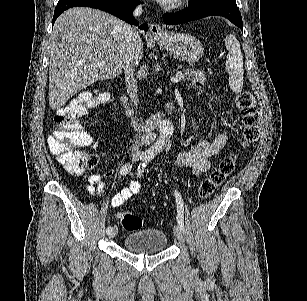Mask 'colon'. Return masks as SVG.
Returning <instances> with one entry per match:
<instances>
[{
  "instance_id": "5ec220e1",
  "label": "colon",
  "mask_w": 307,
  "mask_h": 301,
  "mask_svg": "<svg viewBox=\"0 0 307 301\" xmlns=\"http://www.w3.org/2000/svg\"><path fill=\"white\" fill-rule=\"evenodd\" d=\"M104 94L98 96L83 93L60 107L55 115V129L49 136V147L59 162L71 173H82L94 168L98 163L95 154L84 149L92 143L91 135L83 126L81 119L95 108ZM236 108L242 118L243 147L255 143L260 132V119L254 96L242 91L236 97ZM237 153L223 157L211 173L201 182L198 194L201 198L210 197L224 180L234 171ZM122 227L126 231H136L142 227V219L130 212L119 214Z\"/></svg>"
}]
</instances>
